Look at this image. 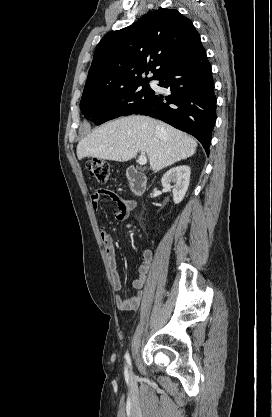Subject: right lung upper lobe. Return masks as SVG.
Returning <instances> with one entry per match:
<instances>
[{"mask_svg": "<svg viewBox=\"0 0 272 417\" xmlns=\"http://www.w3.org/2000/svg\"><path fill=\"white\" fill-rule=\"evenodd\" d=\"M200 44L192 22L177 10L150 12L101 39L83 94H105L148 83L184 61ZM149 71L153 77H141Z\"/></svg>", "mask_w": 272, "mask_h": 417, "instance_id": "cb5924a9", "label": "right lung upper lobe"}]
</instances>
